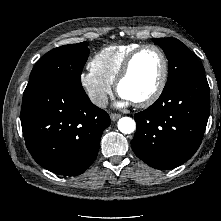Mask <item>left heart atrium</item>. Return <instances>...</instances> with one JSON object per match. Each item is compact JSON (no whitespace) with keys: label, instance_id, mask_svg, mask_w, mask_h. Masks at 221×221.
Returning a JSON list of instances; mask_svg holds the SVG:
<instances>
[{"label":"left heart atrium","instance_id":"1","mask_svg":"<svg viewBox=\"0 0 221 221\" xmlns=\"http://www.w3.org/2000/svg\"><path fill=\"white\" fill-rule=\"evenodd\" d=\"M121 97H122V102L120 103L121 106L128 105V104H130L132 102L129 99L123 97V96H121Z\"/></svg>","mask_w":221,"mask_h":221}]
</instances>
